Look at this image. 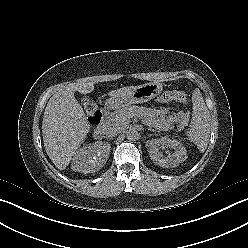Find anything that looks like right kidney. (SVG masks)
Instances as JSON below:
<instances>
[{
	"label": "right kidney",
	"instance_id": "ca27d5eb",
	"mask_svg": "<svg viewBox=\"0 0 248 248\" xmlns=\"http://www.w3.org/2000/svg\"><path fill=\"white\" fill-rule=\"evenodd\" d=\"M108 142L97 141L80 148L73 156L71 169L84 174L94 173L106 164L110 154Z\"/></svg>",
	"mask_w": 248,
	"mask_h": 248
}]
</instances>
